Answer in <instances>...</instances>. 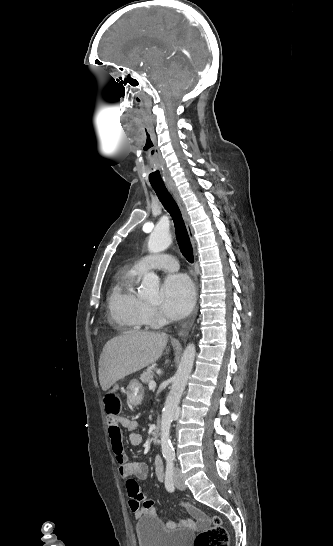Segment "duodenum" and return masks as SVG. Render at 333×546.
Listing matches in <instances>:
<instances>
[{
    "label": "duodenum",
    "mask_w": 333,
    "mask_h": 546,
    "mask_svg": "<svg viewBox=\"0 0 333 546\" xmlns=\"http://www.w3.org/2000/svg\"><path fill=\"white\" fill-rule=\"evenodd\" d=\"M160 437V426L158 423H156L152 430V440L154 442H158Z\"/></svg>",
    "instance_id": "duodenum-1"
}]
</instances>
